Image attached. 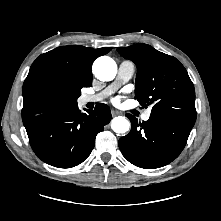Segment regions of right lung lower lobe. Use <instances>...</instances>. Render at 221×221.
<instances>
[{"label": "right lung lower lobe", "mask_w": 221, "mask_h": 221, "mask_svg": "<svg viewBox=\"0 0 221 221\" xmlns=\"http://www.w3.org/2000/svg\"><path fill=\"white\" fill-rule=\"evenodd\" d=\"M87 112L81 113L77 102L67 103L23 121L35 154L58 168L82 163L90 155L96 135L112 118L105 104Z\"/></svg>", "instance_id": "98d812e1"}]
</instances>
